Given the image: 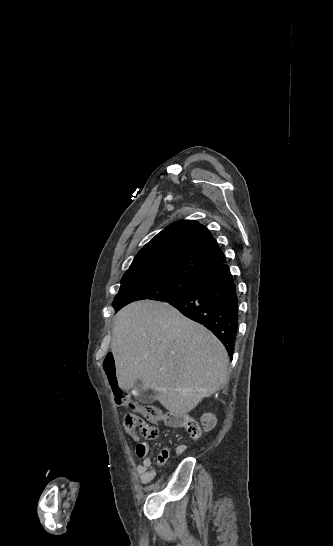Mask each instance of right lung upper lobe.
<instances>
[{
  "label": "right lung upper lobe",
  "mask_w": 333,
  "mask_h": 546,
  "mask_svg": "<svg viewBox=\"0 0 333 546\" xmlns=\"http://www.w3.org/2000/svg\"><path fill=\"white\" fill-rule=\"evenodd\" d=\"M225 262L223 252L206 227L194 220H180L147 243L124 275L169 272L201 279Z\"/></svg>",
  "instance_id": "right-lung-upper-lobe-1"
}]
</instances>
